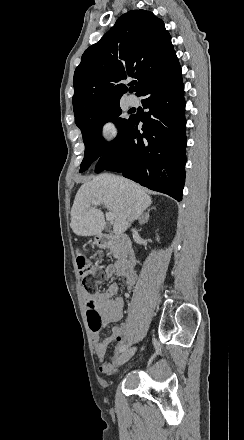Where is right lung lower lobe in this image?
<instances>
[{
  "label": "right lung lower lobe",
  "mask_w": 244,
  "mask_h": 440,
  "mask_svg": "<svg viewBox=\"0 0 244 440\" xmlns=\"http://www.w3.org/2000/svg\"><path fill=\"white\" fill-rule=\"evenodd\" d=\"M136 94L146 97L142 104L149 111L142 118H129L116 142L99 158L95 172H121L142 186L181 201L186 120L179 62L154 73ZM140 121L143 126L138 130Z\"/></svg>",
  "instance_id": "obj_1"
}]
</instances>
